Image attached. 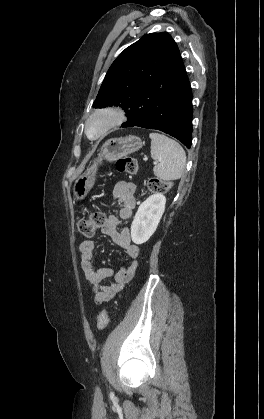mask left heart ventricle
Instances as JSON below:
<instances>
[{
    "label": "left heart ventricle",
    "instance_id": "obj_1",
    "mask_svg": "<svg viewBox=\"0 0 264 419\" xmlns=\"http://www.w3.org/2000/svg\"><path fill=\"white\" fill-rule=\"evenodd\" d=\"M101 126H102V122L100 120H95L94 122H92L90 127H89L90 136L97 135V133L101 129Z\"/></svg>",
    "mask_w": 264,
    "mask_h": 419
}]
</instances>
